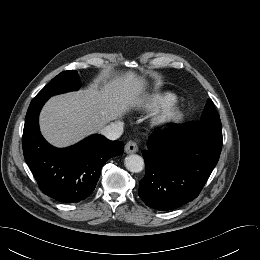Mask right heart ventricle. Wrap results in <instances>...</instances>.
<instances>
[{
  "instance_id": "1",
  "label": "right heart ventricle",
  "mask_w": 260,
  "mask_h": 260,
  "mask_svg": "<svg viewBox=\"0 0 260 260\" xmlns=\"http://www.w3.org/2000/svg\"><path fill=\"white\" fill-rule=\"evenodd\" d=\"M175 99L176 96L169 92L155 94L147 100V102L144 104V107L147 110H154L174 102Z\"/></svg>"
}]
</instances>
